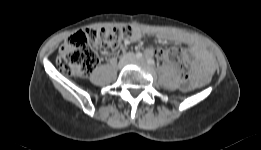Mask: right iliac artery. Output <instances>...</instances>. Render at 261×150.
<instances>
[{"label":"right iliac artery","mask_w":261,"mask_h":150,"mask_svg":"<svg viewBox=\"0 0 261 150\" xmlns=\"http://www.w3.org/2000/svg\"><path fill=\"white\" fill-rule=\"evenodd\" d=\"M136 58H138V59L142 58V53L141 52H137L136 53Z\"/></svg>","instance_id":"1"}]
</instances>
